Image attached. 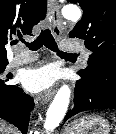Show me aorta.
Returning <instances> with one entry per match:
<instances>
[{
  "label": "aorta",
  "mask_w": 116,
  "mask_h": 134,
  "mask_svg": "<svg viewBox=\"0 0 116 134\" xmlns=\"http://www.w3.org/2000/svg\"><path fill=\"white\" fill-rule=\"evenodd\" d=\"M63 16L67 20H78L81 17V11L76 5H67L63 8ZM71 91L67 85H63L57 92L47 113L44 128L46 132L54 130L63 120L70 101Z\"/></svg>",
  "instance_id": "1"
}]
</instances>
